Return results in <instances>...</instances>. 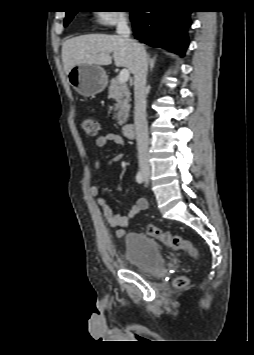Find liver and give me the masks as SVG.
Masks as SVG:
<instances>
[{
  "mask_svg": "<svg viewBox=\"0 0 254 355\" xmlns=\"http://www.w3.org/2000/svg\"><path fill=\"white\" fill-rule=\"evenodd\" d=\"M113 53L115 65L131 73L135 56L131 45L119 35L89 34L71 38L62 45V62L66 74L80 64L110 65Z\"/></svg>",
  "mask_w": 254,
  "mask_h": 355,
  "instance_id": "1",
  "label": "liver"
}]
</instances>
